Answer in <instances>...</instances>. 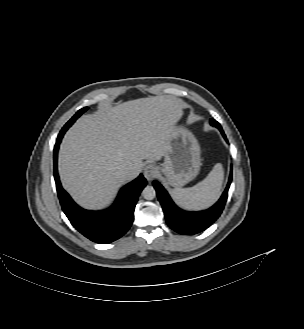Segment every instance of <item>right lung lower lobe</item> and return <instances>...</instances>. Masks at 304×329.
Segmentation results:
<instances>
[{
  "label": "right lung lower lobe",
  "mask_w": 304,
  "mask_h": 329,
  "mask_svg": "<svg viewBox=\"0 0 304 329\" xmlns=\"http://www.w3.org/2000/svg\"><path fill=\"white\" fill-rule=\"evenodd\" d=\"M64 133H59L54 147V179L62 209L82 235L99 244L111 243L122 237L130 228L134 220L135 205L140 192L146 186V179L140 174L137 179L125 185L113 206L107 210L96 212L82 209L62 188L58 176V148Z\"/></svg>",
  "instance_id": "obj_1"
}]
</instances>
